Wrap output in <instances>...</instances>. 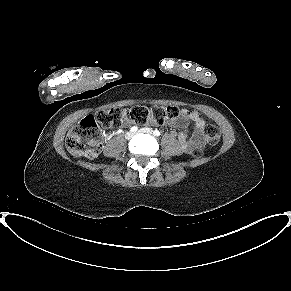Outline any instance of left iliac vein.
Instances as JSON below:
<instances>
[{
	"mask_svg": "<svg viewBox=\"0 0 291 291\" xmlns=\"http://www.w3.org/2000/svg\"><path fill=\"white\" fill-rule=\"evenodd\" d=\"M137 133H148V134H152V130L150 128H143V129H140Z\"/></svg>",
	"mask_w": 291,
	"mask_h": 291,
	"instance_id": "4c4485c4",
	"label": "left iliac vein"
}]
</instances>
